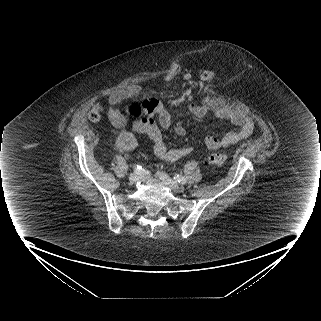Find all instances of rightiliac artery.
Returning <instances> with one entry per match:
<instances>
[{"instance_id": "right-iliac-artery-1", "label": "right iliac artery", "mask_w": 321, "mask_h": 321, "mask_svg": "<svg viewBox=\"0 0 321 321\" xmlns=\"http://www.w3.org/2000/svg\"><path fill=\"white\" fill-rule=\"evenodd\" d=\"M134 171H135L136 173H140V172L142 171V167L139 166V165H135V166H134Z\"/></svg>"}]
</instances>
